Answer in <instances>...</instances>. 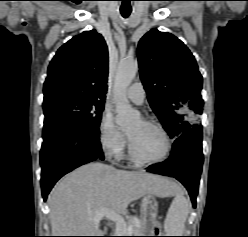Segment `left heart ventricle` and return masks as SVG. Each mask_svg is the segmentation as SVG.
<instances>
[{
  "instance_id": "left-heart-ventricle-1",
  "label": "left heart ventricle",
  "mask_w": 248,
  "mask_h": 237,
  "mask_svg": "<svg viewBox=\"0 0 248 237\" xmlns=\"http://www.w3.org/2000/svg\"><path fill=\"white\" fill-rule=\"evenodd\" d=\"M127 134L138 154L144 158H157L165 150V140L161 133L141 120L132 124Z\"/></svg>"
}]
</instances>
